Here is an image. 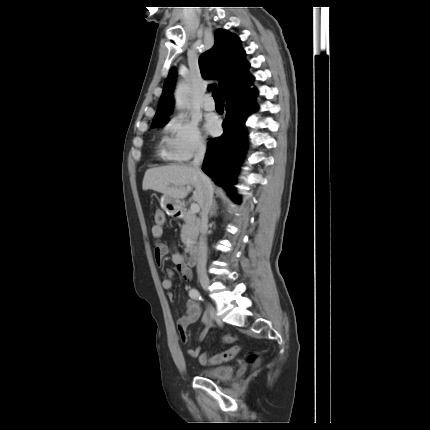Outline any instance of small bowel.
Wrapping results in <instances>:
<instances>
[{
  "instance_id": "obj_1",
  "label": "small bowel",
  "mask_w": 430,
  "mask_h": 430,
  "mask_svg": "<svg viewBox=\"0 0 430 430\" xmlns=\"http://www.w3.org/2000/svg\"><path fill=\"white\" fill-rule=\"evenodd\" d=\"M152 236L155 239H160L163 235V229L159 225H154L151 229ZM170 252L169 247L161 242L156 243L155 249H154V257L157 265H162L163 260L165 256ZM171 261L175 264L176 269L179 271V273L182 275V277L185 280H191L192 279V271L185 265L182 254L177 251L173 250L171 252ZM168 277L164 278L161 282V285L163 289L169 291L173 286V276L174 271L172 269L167 270ZM168 298L172 299L173 294L171 292H168ZM201 315V306L199 302L195 301L194 299H189L186 302V314L180 317L177 321V328L180 334V337L183 342L187 343L189 341V335L187 333L188 327L195 323ZM211 324L207 318L206 315H204L203 318V327L199 334L198 340L202 341L206 335L208 334L210 330ZM201 348L197 347L195 349H189L188 350V356L190 358H196L200 355Z\"/></svg>"
}]
</instances>
